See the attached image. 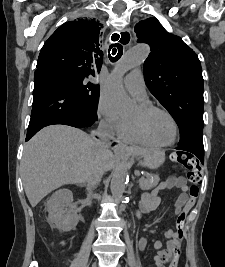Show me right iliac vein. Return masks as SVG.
Here are the masks:
<instances>
[{"instance_id":"63e3f726","label":"right iliac vein","mask_w":225,"mask_h":267,"mask_svg":"<svg viewBox=\"0 0 225 267\" xmlns=\"http://www.w3.org/2000/svg\"><path fill=\"white\" fill-rule=\"evenodd\" d=\"M92 267H97V262H95V263L92 265Z\"/></svg>"}]
</instances>
